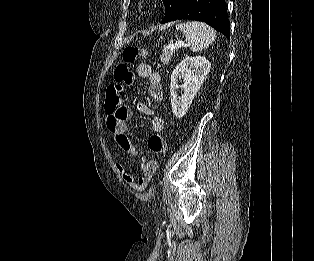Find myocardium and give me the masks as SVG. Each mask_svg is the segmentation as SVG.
I'll return each mask as SVG.
<instances>
[{
    "mask_svg": "<svg viewBox=\"0 0 314 261\" xmlns=\"http://www.w3.org/2000/svg\"><path fill=\"white\" fill-rule=\"evenodd\" d=\"M146 3H147V4L152 3V0H147Z\"/></svg>",
    "mask_w": 314,
    "mask_h": 261,
    "instance_id": "myocardium-1",
    "label": "myocardium"
}]
</instances>
